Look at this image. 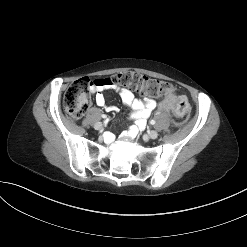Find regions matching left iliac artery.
I'll return each mask as SVG.
<instances>
[{"mask_svg": "<svg viewBox=\"0 0 247 247\" xmlns=\"http://www.w3.org/2000/svg\"><path fill=\"white\" fill-rule=\"evenodd\" d=\"M150 124H151V125H154V124H155V120H151V121H150Z\"/></svg>", "mask_w": 247, "mask_h": 247, "instance_id": "44dca946", "label": "left iliac artery"}]
</instances>
